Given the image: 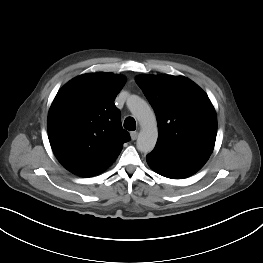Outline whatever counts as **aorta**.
Listing matches in <instances>:
<instances>
[{"instance_id":"obj_1","label":"aorta","mask_w":263,"mask_h":263,"mask_svg":"<svg viewBox=\"0 0 263 263\" xmlns=\"http://www.w3.org/2000/svg\"><path fill=\"white\" fill-rule=\"evenodd\" d=\"M127 105L141 126L137 139V149L143 153H150L154 149L158 139L155 113L146 101L135 95L128 98Z\"/></svg>"}]
</instances>
